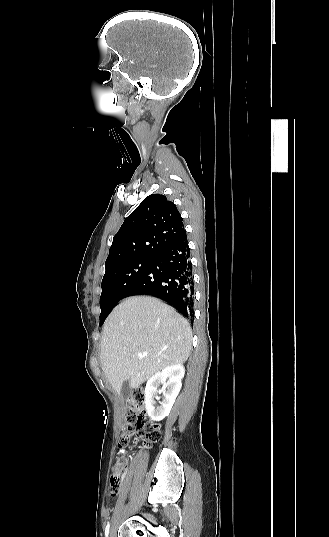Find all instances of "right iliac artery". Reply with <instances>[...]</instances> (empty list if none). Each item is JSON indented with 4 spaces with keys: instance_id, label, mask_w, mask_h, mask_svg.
Returning <instances> with one entry per match:
<instances>
[{
    "instance_id": "82829eb1",
    "label": "right iliac artery",
    "mask_w": 329,
    "mask_h": 537,
    "mask_svg": "<svg viewBox=\"0 0 329 537\" xmlns=\"http://www.w3.org/2000/svg\"><path fill=\"white\" fill-rule=\"evenodd\" d=\"M109 529H110V524H108V525L106 526V530H105V536H106V537H108Z\"/></svg>"
}]
</instances>
